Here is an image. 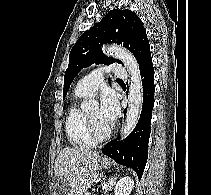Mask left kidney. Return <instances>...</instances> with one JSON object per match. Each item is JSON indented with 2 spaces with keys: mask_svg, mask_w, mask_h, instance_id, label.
<instances>
[{
  "mask_svg": "<svg viewBox=\"0 0 211 195\" xmlns=\"http://www.w3.org/2000/svg\"><path fill=\"white\" fill-rule=\"evenodd\" d=\"M133 188V179L130 176H124L116 183L114 188V195H130Z\"/></svg>",
  "mask_w": 211,
  "mask_h": 195,
  "instance_id": "5707ae66",
  "label": "left kidney"
}]
</instances>
